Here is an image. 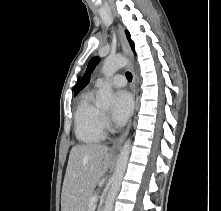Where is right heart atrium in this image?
Listing matches in <instances>:
<instances>
[{
  "instance_id": "1",
  "label": "right heart atrium",
  "mask_w": 221,
  "mask_h": 211,
  "mask_svg": "<svg viewBox=\"0 0 221 211\" xmlns=\"http://www.w3.org/2000/svg\"><path fill=\"white\" fill-rule=\"evenodd\" d=\"M101 124H102V127H107L109 124L108 119L104 114H102V116H101Z\"/></svg>"
}]
</instances>
